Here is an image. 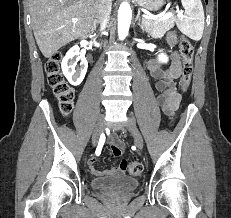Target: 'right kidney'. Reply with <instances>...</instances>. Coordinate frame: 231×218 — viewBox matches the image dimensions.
I'll use <instances>...</instances> for the list:
<instances>
[{
    "instance_id": "1",
    "label": "right kidney",
    "mask_w": 231,
    "mask_h": 218,
    "mask_svg": "<svg viewBox=\"0 0 231 218\" xmlns=\"http://www.w3.org/2000/svg\"><path fill=\"white\" fill-rule=\"evenodd\" d=\"M80 61V67L76 68L77 63ZM62 72L70 84L79 85L87 72L88 62L85 56L80 52L77 45L73 46L66 53L61 63Z\"/></svg>"
}]
</instances>
